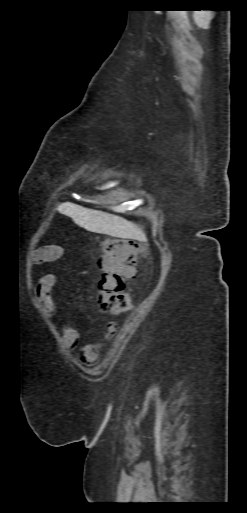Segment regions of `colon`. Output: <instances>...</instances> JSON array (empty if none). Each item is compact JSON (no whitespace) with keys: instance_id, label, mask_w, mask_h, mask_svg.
<instances>
[{"instance_id":"1","label":"colon","mask_w":247,"mask_h":513,"mask_svg":"<svg viewBox=\"0 0 247 513\" xmlns=\"http://www.w3.org/2000/svg\"><path fill=\"white\" fill-rule=\"evenodd\" d=\"M59 255V251L55 256ZM138 247L129 239L110 238L103 242L99 257V305L105 311L119 313L131 302L126 285L138 272Z\"/></svg>"}]
</instances>
